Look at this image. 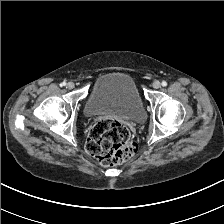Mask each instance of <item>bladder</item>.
I'll list each match as a JSON object with an SVG mask.
<instances>
[{"instance_id": "31cf9c89", "label": "bladder", "mask_w": 224, "mask_h": 224, "mask_svg": "<svg viewBox=\"0 0 224 224\" xmlns=\"http://www.w3.org/2000/svg\"><path fill=\"white\" fill-rule=\"evenodd\" d=\"M84 111L90 117L118 113L137 123L146 119L136 84L131 76L123 72H108L99 76L86 97Z\"/></svg>"}]
</instances>
